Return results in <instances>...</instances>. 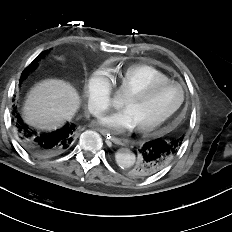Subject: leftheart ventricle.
I'll use <instances>...</instances> for the list:
<instances>
[{
	"label": "left heart ventricle",
	"mask_w": 232,
	"mask_h": 232,
	"mask_svg": "<svg viewBox=\"0 0 232 232\" xmlns=\"http://www.w3.org/2000/svg\"><path fill=\"white\" fill-rule=\"evenodd\" d=\"M181 98L177 86H165L144 100L125 98L122 108L133 116L136 127L152 124L172 110Z\"/></svg>",
	"instance_id": "obj_1"
}]
</instances>
